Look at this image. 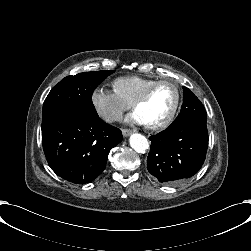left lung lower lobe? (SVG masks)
<instances>
[{
  "label": "left lung lower lobe",
  "instance_id": "1",
  "mask_svg": "<svg viewBox=\"0 0 251 251\" xmlns=\"http://www.w3.org/2000/svg\"><path fill=\"white\" fill-rule=\"evenodd\" d=\"M150 140L148 172L161 183H178L195 175L204 163L208 147L206 121L170 125Z\"/></svg>",
  "mask_w": 251,
  "mask_h": 251
}]
</instances>
